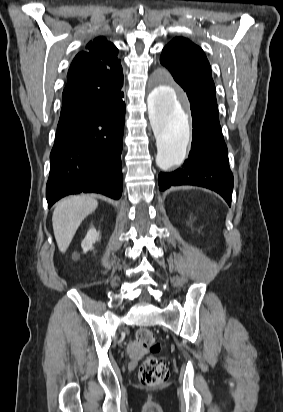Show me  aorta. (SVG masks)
<instances>
[{
    "mask_svg": "<svg viewBox=\"0 0 283 412\" xmlns=\"http://www.w3.org/2000/svg\"><path fill=\"white\" fill-rule=\"evenodd\" d=\"M184 101L185 97L165 82L157 83L147 98L157 145L156 163L163 170L180 165L186 155L190 128Z\"/></svg>",
    "mask_w": 283,
    "mask_h": 412,
    "instance_id": "aorta-1",
    "label": "aorta"
}]
</instances>
